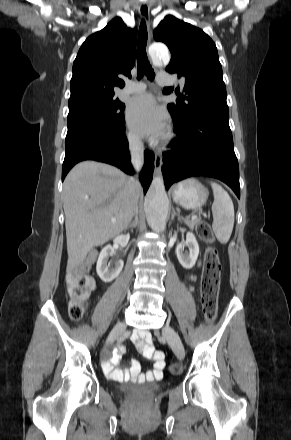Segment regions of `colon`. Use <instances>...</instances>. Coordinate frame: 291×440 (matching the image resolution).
<instances>
[{
  "instance_id": "obj_1",
  "label": "colon",
  "mask_w": 291,
  "mask_h": 440,
  "mask_svg": "<svg viewBox=\"0 0 291 440\" xmlns=\"http://www.w3.org/2000/svg\"><path fill=\"white\" fill-rule=\"evenodd\" d=\"M195 230L198 237L208 244L201 279V296L204 318L206 322L210 323L215 319L217 312L221 265L217 248L213 245V233L208 223L199 221ZM86 264L84 263V266ZM93 288V281L83 273L82 268L69 276L67 292L70 298L69 314L73 320H79L86 313L88 298ZM155 355L160 356L161 353L156 352Z\"/></svg>"
}]
</instances>
